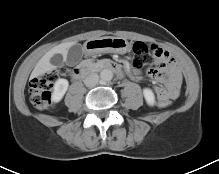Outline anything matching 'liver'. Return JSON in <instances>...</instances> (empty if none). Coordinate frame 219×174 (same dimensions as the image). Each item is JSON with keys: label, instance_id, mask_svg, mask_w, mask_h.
Wrapping results in <instances>:
<instances>
[{"label": "liver", "instance_id": "liver-1", "mask_svg": "<svg viewBox=\"0 0 219 174\" xmlns=\"http://www.w3.org/2000/svg\"><path fill=\"white\" fill-rule=\"evenodd\" d=\"M74 45V42H68V43H63L55 46L51 50H49L36 64L34 70L31 73L30 78L38 77L42 75L43 73L49 72L56 67L51 64L50 59L55 55V54H61L64 58V60L67 57L68 50L70 47Z\"/></svg>", "mask_w": 219, "mask_h": 174}]
</instances>
